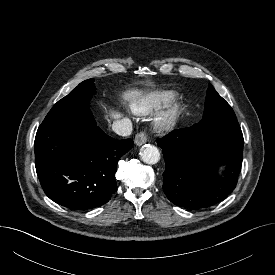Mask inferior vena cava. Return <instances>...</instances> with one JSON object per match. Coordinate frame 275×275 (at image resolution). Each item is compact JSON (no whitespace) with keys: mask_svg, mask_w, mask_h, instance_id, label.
<instances>
[{"mask_svg":"<svg viewBox=\"0 0 275 275\" xmlns=\"http://www.w3.org/2000/svg\"><path fill=\"white\" fill-rule=\"evenodd\" d=\"M112 130L120 136H129L132 133V122L129 118L116 120L112 124Z\"/></svg>","mask_w":275,"mask_h":275,"instance_id":"602c4592","label":"inferior vena cava"}]
</instances>
